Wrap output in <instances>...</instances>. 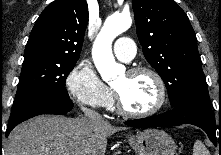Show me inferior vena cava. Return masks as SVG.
<instances>
[{
  "label": "inferior vena cava",
  "instance_id": "602c4592",
  "mask_svg": "<svg viewBox=\"0 0 221 155\" xmlns=\"http://www.w3.org/2000/svg\"><path fill=\"white\" fill-rule=\"evenodd\" d=\"M85 116L93 123L102 121V116L94 110L82 107Z\"/></svg>",
  "mask_w": 221,
  "mask_h": 155
}]
</instances>
